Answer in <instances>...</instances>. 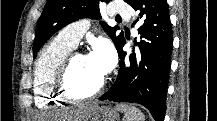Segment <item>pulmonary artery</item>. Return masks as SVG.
Listing matches in <instances>:
<instances>
[{
    "label": "pulmonary artery",
    "mask_w": 217,
    "mask_h": 121,
    "mask_svg": "<svg viewBox=\"0 0 217 121\" xmlns=\"http://www.w3.org/2000/svg\"><path fill=\"white\" fill-rule=\"evenodd\" d=\"M115 13L118 17H124L126 20L130 19V9L126 6L119 5L115 7ZM90 27V22L86 19L79 20L67 25L59 33V37L68 42L72 46H76L79 40L83 37Z\"/></svg>",
    "instance_id": "1"
}]
</instances>
